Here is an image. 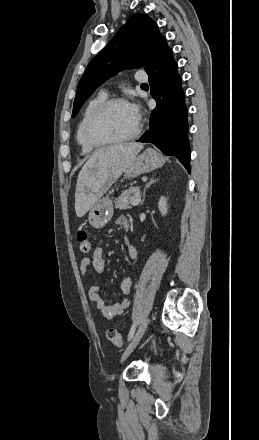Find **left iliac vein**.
Listing matches in <instances>:
<instances>
[{"label":"left iliac vein","mask_w":259,"mask_h":440,"mask_svg":"<svg viewBox=\"0 0 259 440\" xmlns=\"http://www.w3.org/2000/svg\"><path fill=\"white\" fill-rule=\"evenodd\" d=\"M149 323V318H146L141 325L139 326L137 332L135 333L134 337L132 338L131 342L129 343V345L127 346L126 350L124 351L122 358H121V363H123L128 356L132 353V351L136 348V346L138 345V343L140 342L142 336L145 333V330L148 326Z\"/></svg>","instance_id":"obj_1"}]
</instances>
